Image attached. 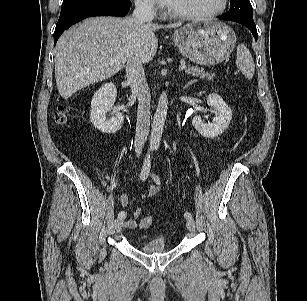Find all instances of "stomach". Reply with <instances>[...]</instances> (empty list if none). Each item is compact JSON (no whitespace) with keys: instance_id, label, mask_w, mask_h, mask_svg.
<instances>
[{"instance_id":"0dacf381","label":"stomach","mask_w":307,"mask_h":301,"mask_svg":"<svg viewBox=\"0 0 307 301\" xmlns=\"http://www.w3.org/2000/svg\"><path fill=\"white\" fill-rule=\"evenodd\" d=\"M173 40L184 57L199 65H214L228 58L235 32L222 22L189 23L174 31Z\"/></svg>"}]
</instances>
